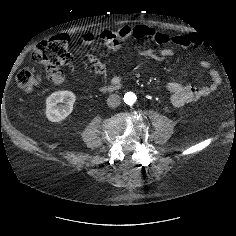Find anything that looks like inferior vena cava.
<instances>
[{
    "label": "inferior vena cava",
    "mask_w": 236,
    "mask_h": 236,
    "mask_svg": "<svg viewBox=\"0 0 236 236\" xmlns=\"http://www.w3.org/2000/svg\"><path fill=\"white\" fill-rule=\"evenodd\" d=\"M120 101H121V99H120L119 95L112 94L107 99V105L111 108H115V107L119 106Z\"/></svg>",
    "instance_id": "obj_1"
}]
</instances>
